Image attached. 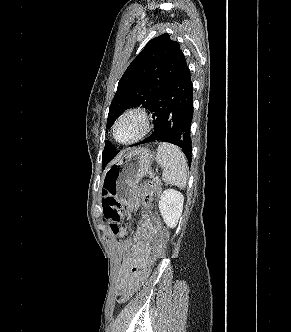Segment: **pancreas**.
Segmentation results:
<instances>
[{"label": "pancreas", "instance_id": "pancreas-1", "mask_svg": "<svg viewBox=\"0 0 291 332\" xmlns=\"http://www.w3.org/2000/svg\"><path fill=\"white\" fill-rule=\"evenodd\" d=\"M153 182H155L157 185L161 186L162 183H161V180L158 178V177H154L153 178Z\"/></svg>", "mask_w": 291, "mask_h": 332}]
</instances>
